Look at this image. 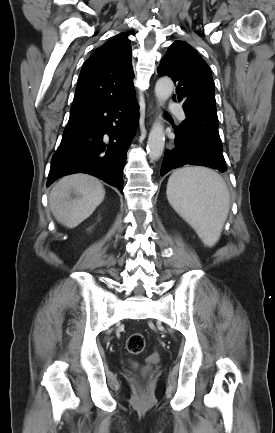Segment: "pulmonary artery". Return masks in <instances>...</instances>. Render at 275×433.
<instances>
[{
	"instance_id": "1",
	"label": "pulmonary artery",
	"mask_w": 275,
	"mask_h": 433,
	"mask_svg": "<svg viewBox=\"0 0 275 433\" xmlns=\"http://www.w3.org/2000/svg\"><path fill=\"white\" fill-rule=\"evenodd\" d=\"M167 110H168L169 112H171V113H175V114H177V116H178V118H179L180 120H184V119H185V115H184V113L181 112V107H180L179 104H177V103H170V104L168 105Z\"/></svg>"
}]
</instances>
